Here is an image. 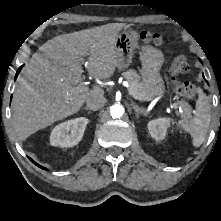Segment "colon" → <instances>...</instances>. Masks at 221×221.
I'll return each instance as SVG.
<instances>
[{"mask_svg": "<svg viewBox=\"0 0 221 221\" xmlns=\"http://www.w3.org/2000/svg\"><path fill=\"white\" fill-rule=\"evenodd\" d=\"M141 39L144 42H152L155 45H161L163 40L158 34L142 33ZM189 70V64L184 56L174 58L169 67V72L172 77L173 87L176 93L181 96L192 98L196 94L195 85L188 81H182L179 77Z\"/></svg>", "mask_w": 221, "mask_h": 221, "instance_id": "colon-1", "label": "colon"}]
</instances>
